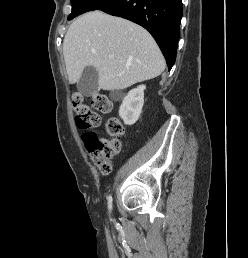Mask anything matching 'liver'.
Listing matches in <instances>:
<instances>
[{
    "instance_id": "1",
    "label": "liver",
    "mask_w": 248,
    "mask_h": 258,
    "mask_svg": "<svg viewBox=\"0 0 248 258\" xmlns=\"http://www.w3.org/2000/svg\"><path fill=\"white\" fill-rule=\"evenodd\" d=\"M63 55L70 83H78L84 68L93 66L103 90L125 89L165 69L158 45L144 28L101 11L83 14L69 26Z\"/></svg>"
}]
</instances>
